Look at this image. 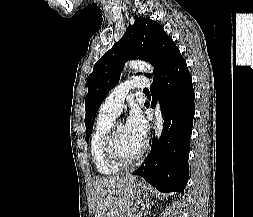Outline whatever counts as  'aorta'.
I'll list each match as a JSON object with an SVG mask.
<instances>
[{
  "mask_svg": "<svg viewBox=\"0 0 253 217\" xmlns=\"http://www.w3.org/2000/svg\"><path fill=\"white\" fill-rule=\"evenodd\" d=\"M127 67L130 70H139V71H144V72H149V73L153 72V67L150 64L146 63L145 61H141V60L130 61L127 64ZM154 115H155L154 127L156 131V136L159 138L163 130V124H164V119H163V115H162L159 103H157L156 105Z\"/></svg>",
  "mask_w": 253,
  "mask_h": 217,
  "instance_id": "obj_1",
  "label": "aorta"
}]
</instances>
